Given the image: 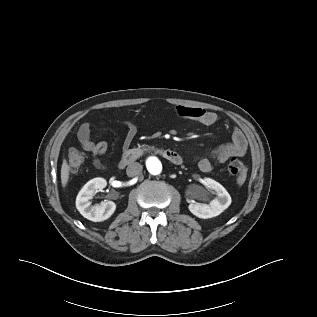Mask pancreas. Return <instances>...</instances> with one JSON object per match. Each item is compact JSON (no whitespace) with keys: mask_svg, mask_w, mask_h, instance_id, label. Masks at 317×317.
I'll return each instance as SVG.
<instances>
[{"mask_svg":"<svg viewBox=\"0 0 317 317\" xmlns=\"http://www.w3.org/2000/svg\"><path fill=\"white\" fill-rule=\"evenodd\" d=\"M142 149L139 146L138 148H133L129 150V153L133 154V155H141L142 154Z\"/></svg>","mask_w":317,"mask_h":317,"instance_id":"1","label":"pancreas"}]
</instances>
